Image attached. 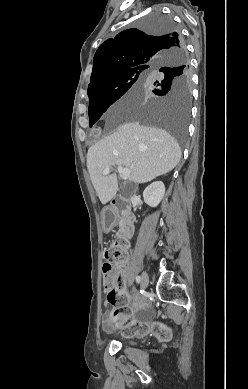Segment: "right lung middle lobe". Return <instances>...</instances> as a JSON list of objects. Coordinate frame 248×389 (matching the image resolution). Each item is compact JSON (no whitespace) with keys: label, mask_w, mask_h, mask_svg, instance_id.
<instances>
[{"label":"right lung middle lobe","mask_w":248,"mask_h":389,"mask_svg":"<svg viewBox=\"0 0 248 389\" xmlns=\"http://www.w3.org/2000/svg\"><path fill=\"white\" fill-rule=\"evenodd\" d=\"M140 26L155 35L167 34L175 29L173 20L160 12L145 16ZM147 79L151 81L149 90L160 96V100L133 105L122 103L117 108V116L163 127L180 146L184 145L191 107V72L185 56L172 55L148 71L134 69L119 73L108 84L88 93L89 126L92 127L131 87L134 89Z\"/></svg>","instance_id":"obj_1"}]
</instances>
